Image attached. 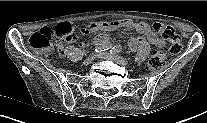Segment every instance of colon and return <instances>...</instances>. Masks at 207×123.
Returning <instances> with one entry per match:
<instances>
[{"label":"colon","mask_w":207,"mask_h":123,"mask_svg":"<svg viewBox=\"0 0 207 123\" xmlns=\"http://www.w3.org/2000/svg\"><path fill=\"white\" fill-rule=\"evenodd\" d=\"M152 28L168 42L166 49L157 50L149 59L148 66L151 70H158L170 56H176L183 50L181 38L175 29L161 22H154ZM76 27L70 22H62L55 27H44L36 31L29 39V46L40 52H51V39L58 37L61 41L69 42L76 38Z\"/></svg>","instance_id":"1"}]
</instances>
